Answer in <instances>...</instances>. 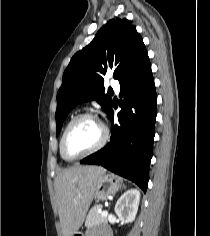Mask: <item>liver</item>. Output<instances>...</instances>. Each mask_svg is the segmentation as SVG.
I'll return each mask as SVG.
<instances>
[{"label":"liver","instance_id":"liver-1","mask_svg":"<svg viewBox=\"0 0 210 236\" xmlns=\"http://www.w3.org/2000/svg\"><path fill=\"white\" fill-rule=\"evenodd\" d=\"M105 172L103 167L78 165L57 175L55 192L63 236H73L82 226L96 181Z\"/></svg>","mask_w":210,"mask_h":236}]
</instances>
